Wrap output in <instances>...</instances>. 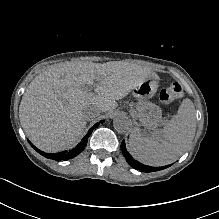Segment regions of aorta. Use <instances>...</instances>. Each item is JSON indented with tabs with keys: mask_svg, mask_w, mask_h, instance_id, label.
<instances>
[{
	"mask_svg": "<svg viewBox=\"0 0 219 219\" xmlns=\"http://www.w3.org/2000/svg\"><path fill=\"white\" fill-rule=\"evenodd\" d=\"M131 125H132L131 121L123 113H118L113 118V126H114L115 130L119 133L128 132L131 128Z\"/></svg>",
	"mask_w": 219,
	"mask_h": 219,
	"instance_id": "aorta-1",
	"label": "aorta"
}]
</instances>
